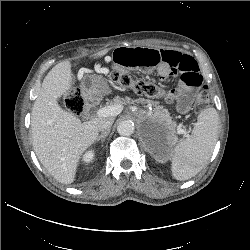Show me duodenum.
Returning a JSON list of instances; mask_svg holds the SVG:
<instances>
[{"mask_svg":"<svg viewBox=\"0 0 250 250\" xmlns=\"http://www.w3.org/2000/svg\"><path fill=\"white\" fill-rule=\"evenodd\" d=\"M96 100L95 99H88L85 103V108L86 110H90L91 108H93L96 105Z\"/></svg>","mask_w":250,"mask_h":250,"instance_id":"obj_1","label":"duodenum"}]
</instances>
